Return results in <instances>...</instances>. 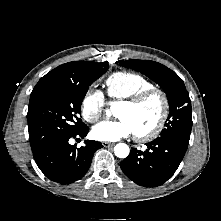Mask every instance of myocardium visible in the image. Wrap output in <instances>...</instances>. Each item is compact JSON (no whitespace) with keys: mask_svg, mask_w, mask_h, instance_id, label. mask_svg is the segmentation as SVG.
I'll return each instance as SVG.
<instances>
[{"mask_svg":"<svg viewBox=\"0 0 221 221\" xmlns=\"http://www.w3.org/2000/svg\"><path fill=\"white\" fill-rule=\"evenodd\" d=\"M152 97H158L161 101V114L155 126L149 131L143 133H134L135 138L139 142H149L155 139L163 130L166 120L169 115L170 103L167 94L159 88H150L136 94L133 97L119 101V105H127L132 108H137L143 105Z\"/></svg>","mask_w":221,"mask_h":221,"instance_id":"1","label":"myocardium"}]
</instances>
